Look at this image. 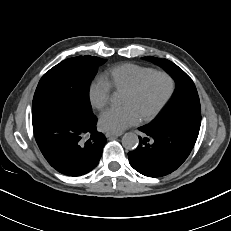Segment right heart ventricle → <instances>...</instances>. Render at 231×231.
Masks as SVG:
<instances>
[{"instance_id":"e07e8e85","label":"right heart ventricle","mask_w":231,"mask_h":231,"mask_svg":"<svg viewBox=\"0 0 231 231\" xmlns=\"http://www.w3.org/2000/svg\"><path fill=\"white\" fill-rule=\"evenodd\" d=\"M154 71L151 67H146L133 63H124L111 68L104 79L111 88L118 91H126L136 81L144 75Z\"/></svg>"}]
</instances>
